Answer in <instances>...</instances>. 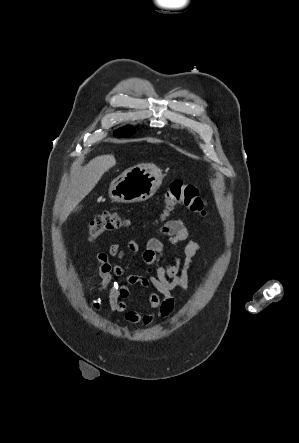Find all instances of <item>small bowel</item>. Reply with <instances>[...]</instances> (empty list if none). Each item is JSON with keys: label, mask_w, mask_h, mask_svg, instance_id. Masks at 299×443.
Wrapping results in <instances>:
<instances>
[{"label": "small bowel", "mask_w": 299, "mask_h": 443, "mask_svg": "<svg viewBox=\"0 0 299 443\" xmlns=\"http://www.w3.org/2000/svg\"><path fill=\"white\" fill-rule=\"evenodd\" d=\"M158 234L168 237V243L176 248L190 238V232L181 220H171L165 223ZM127 250L130 255L138 254L140 244L138 240L128 242ZM164 244L157 238L151 237L146 242L142 258L148 266L145 274L127 275L128 265L112 264L109 256L123 259L126 252L118 245L112 244L108 253L97 255L99 264V286L109 289V302L112 309L123 313L127 322L132 324L149 325L155 316L168 317L174 310L175 299L172 291L176 288L190 289L188 270L193 257L201 250L197 241H188L182 254L176 256L174 263L169 265L163 257ZM115 277H125L123 284L114 282ZM140 285L145 289H153L149 293L146 308L149 312L129 310L127 299L130 287Z\"/></svg>", "instance_id": "1"}]
</instances>
